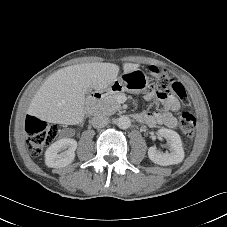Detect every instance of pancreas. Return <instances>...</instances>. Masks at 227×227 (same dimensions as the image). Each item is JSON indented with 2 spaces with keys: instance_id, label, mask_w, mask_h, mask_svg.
<instances>
[{
  "instance_id": "obj_1",
  "label": "pancreas",
  "mask_w": 227,
  "mask_h": 227,
  "mask_svg": "<svg viewBox=\"0 0 227 227\" xmlns=\"http://www.w3.org/2000/svg\"><path fill=\"white\" fill-rule=\"evenodd\" d=\"M118 96V93L106 94L98 101L95 108L96 112L105 115H112L116 111H119L121 109V105L117 101Z\"/></svg>"
}]
</instances>
